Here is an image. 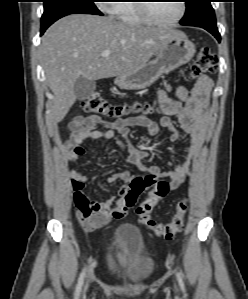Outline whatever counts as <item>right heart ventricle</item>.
Returning <instances> with one entry per match:
<instances>
[{"mask_svg": "<svg viewBox=\"0 0 248 299\" xmlns=\"http://www.w3.org/2000/svg\"><path fill=\"white\" fill-rule=\"evenodd\" d=\"M131 0L114 3L112 14L122 23L128 25H147L149 22L141 14L138 5Z\"/></svg>", "mask_w": 248, "mask_h": 299, "instance_id": "e07e8e85", "label": "right heart ventricle"}]
</instances>
